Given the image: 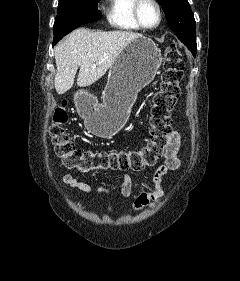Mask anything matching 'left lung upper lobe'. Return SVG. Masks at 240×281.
<instances>
[{
	"label": "left lung upper lobe",
	"mask_w": 240,
	"mask_h": 281,
	"mask_svg": "<svg viewBox=\"0 0 240 281\" xmlns=\"http://www.w3.org/2000/svg\"><path fill=\"white\" fill-rule=\"evenodd\" d=\"M166 14L169 27L195 55L197 50L195 19L187 0H157Z\"/></svg>",
	"instance_id": "1"
}]
</instances>
